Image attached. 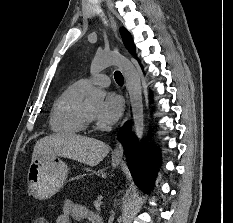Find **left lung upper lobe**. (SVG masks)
<instances>
[{
	"instance_id": "5c2ea615",
	"label": "left lung upper lobe",
	"mask_w": 233,
	"mask_h": 223,
	"mask_svg": "<svg viewBox=\"0 0 233 223\" xmlns=\"http://www.w3.org/2000/svg\"><path fill=\"white\" fill-rule=\"evenodd\" d=\"M120 33H121L122 40L124 42L125 47L128 49V51L131 54H135V46L133 44L130 33L124 28L120 29Z\"/></svg>"
}]
</instances>
